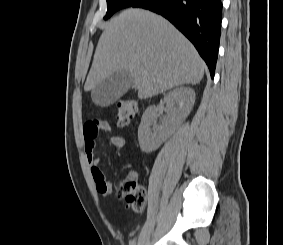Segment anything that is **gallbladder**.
<instances>
[{
    "instance_id": "bac80fb5",
    "label": "gallbladder",
    "mask_w": 283,
    "mask_h": 245,
    "mask_svg": "<svg viewBox=\"0 0 283 245\" xmlns=\"http://www.w3.org/2000/svg\"><path fill=\"white\" fill-rule=\"evenodd\" d=\"M134 86L135 81L132 75L127 70H120L97 84L91 92V98L98 106H108Z\"/></svg>"
}]
</instances>
